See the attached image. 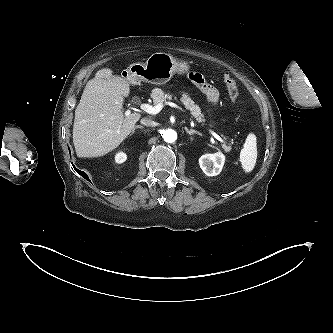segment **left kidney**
<instances>
[{
	"label": "left kidney",
	"instance_id": "left-kidney-1",
	"mask_svg": "<svg viewBox=\"0 0 333 333\" xmlns=\"http://www.w3.org/2000/svg\"><path fill=\"white\" fill-rule=\"evenodd\" d=\"M225 162V155L221 152L205 154L199 158V165L207 176L220 174Z\"/></svg>",
	"mask_w": 333,
	"mask_h": 333
}]
</instances>
